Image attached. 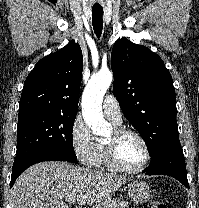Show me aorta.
Returning <instances> with one entry per match:
<instances>
[{"mask_svg": "<svg viewBox=\"0 0 199 208\" xmlns=\"http://www.w3.org/2000/svg\"><path fill=\"white\" fill-rule=\"evenodd\" d=\"M112 79L110 70L99 71L91 77L82 95V115L95 135H106L111 129L103 117L102 101Z\"/></svg>", "mask_w": 199, "mask_h": 208, "instance_id": "obj_1", "label": "aorta"}]
</instances>
